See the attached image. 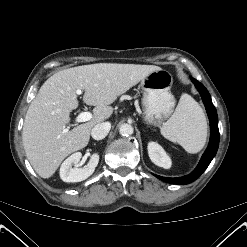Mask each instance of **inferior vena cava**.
Wrapping results in <instances>:
<instances>
[{
  "label": "inferior vena cava",
  "instance_id": "1",
  "mask_svg": "<svg viewBox=\"0 0 247 247\" xmlns=\"http://www.w3.org/2000/svg\"><path fill=\"white\" fill-rule=\"evenodd\" d=\"M111 128V124L103 122L95 125L91 130L92 138L95 140H102L107 136Z\"/></svg>",
  "mask_w": 247,
  "mask_h": 247
}]
</instances>
